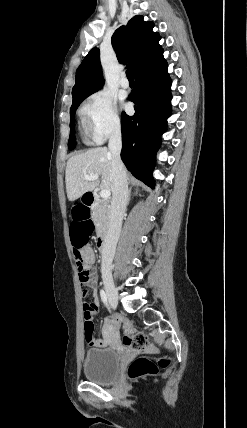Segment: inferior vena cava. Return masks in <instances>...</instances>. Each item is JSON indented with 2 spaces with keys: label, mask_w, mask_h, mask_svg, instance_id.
<instances>
[{
  "label": "inferior vena cava",
  "mask_w": 247,
  "mask_h": 428,
  "mask_svg": "<svg viewBox=\"0 0 247 428\" xmlns=\"http://www.w3.org/2000/svg\"><path fill=\"white\" fill-rule=\"evenodd\" d=\"M112 156L113 189L108 231L102 245V269L110 270L120 236L123 216L128 203V184L125 166L121 160L122 136L120 125H116L108 144Z\"/></svg>",
  "instance_id": "inferior-vena-cava-1"
}]
</instances>
